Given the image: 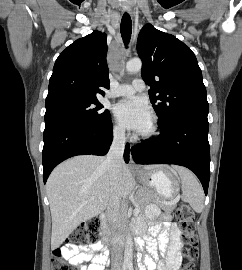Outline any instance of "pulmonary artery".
Here are the masks:
<instances>
[{"label":"pulmonary artery","mask_w":242,"mask_h":270,"mask_svg":"<svg viewBox=\"0 0 242 270\" xmlns=\"http://www.w3.org/2000/svg\"><path fill=\"white\" fill-rule=\"evenodd\" d=\"M145 88V83L142 79L137 78L133 80L132 84H124L116 87L112 92L109 93L110 96H129L137 91H142Z\"/></svg>","instance_id":"obj_1"}]
</instances>
